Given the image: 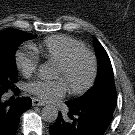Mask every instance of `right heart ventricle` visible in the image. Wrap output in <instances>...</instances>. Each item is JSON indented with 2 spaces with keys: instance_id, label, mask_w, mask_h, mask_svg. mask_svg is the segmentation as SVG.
Returning a JSON list of instances; mask_svg holds the SVG:
<instances>
[{
  "instance_id": "obj_1",
  "label": "right heart ventricle",
  "mask_w": 135,
  "mask_h": 135,
  "mask_svg": "<svg viewBox=\"0 0 135 135\" xmlns=\"http://www.w3.org/2000/svg\"><path fill=\"white\" fill-rule=\"evenodd\" d=\"M37 54H41L47 61L59 64L76 51L86 50V46L79 40L66 35H54L43 40L40 46H34Z\"/></svg>"
}]
</instances>
